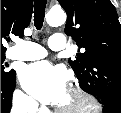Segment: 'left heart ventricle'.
<instances>
[{"label":"left heart ventricle","mask_w":121,"mask_h":113,"mask_svg":"<svg viewBox=\"0 0 121 113\" xmlns=\"http://www.w3.org/2000/svg\"><path fill=\"white\" fill-rule=\"evenodd\" d=\"M58 108L63 110L85 109V102L80 97L67 90L62 101L58 104Z\"/></svg>","instance_id":"obj_1"}]
</instances>
